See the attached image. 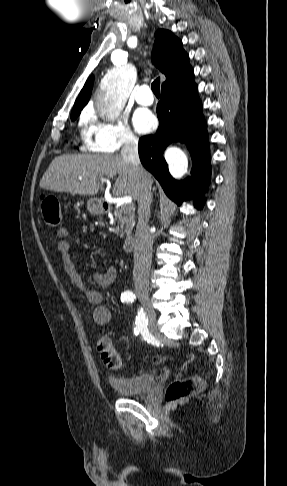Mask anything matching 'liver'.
<instances>
[{"label":"liver","mask_w":287,"mask_h":486,"mask_svg":"<svg viewBox=\"0 0 287 486\" xmlns=\"http://www.w3.org/2000/svg\"><path fill=\"white\" fill-rule=\"evenodd\" d=\"M118 175L113 195L139 197V182L133 165L121 155H61L55 157L40 180V187L55 192L96 195L103 188L101 179ZM152 184L151 176L147 173Z\"/></svg>","instance_id":"obj_1"}]
</instances>
